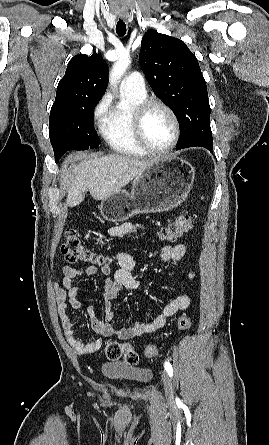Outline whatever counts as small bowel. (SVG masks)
<instances>
[{
	"instance_id": "obj_1",
	"label": "small bowel",
	"mask_w": 269,
	"mask_h": 445,
	"mask_svg": "<svg viewBox=\"0 0 269 445\" xmlns=\"http://www.w3.org/2000/svg\"><path fill=\"white\" fill-rule=\"evenodd\" d=\"M139 223H124L120 226L112 227L109 233L113 236H120L139 229ZM186 247L183 244L174 246H165L160 253L162 263L178 262L185 257ZM118 268L112 272L108 265L89 266L85 269H77L65 265L62 267V287L55 284V294L58 307V314L61 320L65 338L69 345L79 355L90 354L98 351L102 347V341L96 339L88 343L79 340L74 332V325L70 319L69 308L80 310L82 303L78 286L74 283L75 279L81 277L94 276L101 274L104 277V316L103 320L96 317L94 307H87L88 315L92 329L103 336H116L119 339L127 340L134 337L143 336L162 328L166 320L179 311L187 309L190 305V298L187 294L181 293L174 296L151 321L137 322L132 327L117 328L112 321L115 313L113 301L118 298L123 289L136 290L139 282L134 276L137 268L135 260L125 252H118L115 256ZM193 279L195 272L191 269L188 274Z\"/></svg>"
}]
</instances>
